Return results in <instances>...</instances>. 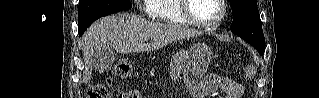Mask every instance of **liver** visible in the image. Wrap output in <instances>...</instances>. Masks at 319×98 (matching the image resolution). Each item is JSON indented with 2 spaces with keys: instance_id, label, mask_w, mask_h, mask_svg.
I'll list each match as a JSON object with an SVG mask.
<instances>
[{
  "instance_id": "obj_1",
  "label": "liver",
  "mask_w": 319,
  "mask_h": 98,
  "mask_svg": "<svg viewBox=\"0 0 319 98\" xmlns=\"http://www.w3.org/2000/svg\"><path fill=\"white\" fill-rule=\"evenodd\" d=\"M200 33L180 25L150 22L140 16L120 13L94 22L81 39L85 68L83 82L92 78V56L98 50H116L121 54L159 49L171 42L192 38ZM151 38L150 44L142 40Z\"/></svg>"
}]
</instances>
